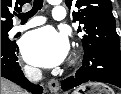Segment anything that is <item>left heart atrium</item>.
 Here are the masks:
<instances>
[{
	"mask_svg": "<svg viewBox=\"0 0 121 94\" xmlns=\"http://www.w3.org/2000/svg\"><path fill=\"white\" fill-rule=\"evenodd\" d=\"M68 50L66 37L50 26L28 33L22 42L24 58L40 67H54L61 64Z\"/></svg>",
	"mask_w": 121,
	"mask_h": 94,
	"instance_id": "obj_1",
	"label": "left heart atrium"
}]
</instances>
